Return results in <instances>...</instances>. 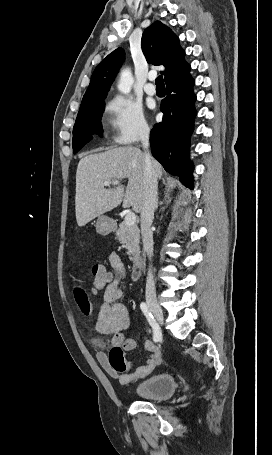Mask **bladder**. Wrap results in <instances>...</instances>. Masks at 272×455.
Instances as JSON below:
<instances>
[{
    "mask_svg": "<svg viewBox=\"0 0 272 455\" xmlns=\"http://www.w3.org/2000/svg\"><path fill=\"white\" fill-rule=\"evenodd\" d=\"M176 378L167 372L156 374L141 382L135 389V394L147 400H164L171 397L177 390Z\"/></svg>",
    "mask_w": 272,
    "mask_h": 455,
    "instance_id": "1",
    "label": "bladder"
}]
</instances>
